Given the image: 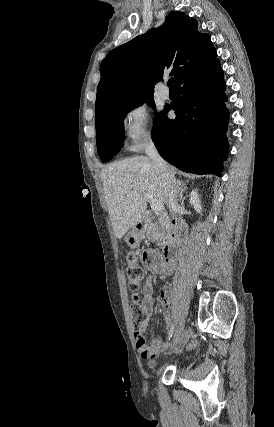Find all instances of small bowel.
I'll list each match as a JSON object with an SVG mask.
<instances>
[{"mask_svg": "<svg viewBox=\"0 0 274 427\" xmlns=\"http://www.w3.org/2000/svg\"><path fill=\"white\" fill-rule=\"evenodd\" d=\"M144 256L148 269L161 275H170L173 273L175 260L170 256H166L164 252L160 254L157 250L149 248L144 253ZM142 293L141 306L144 318L135 324V339L141 357L143 359H154L159 354L165 352L170 347V344L162 338L147 342L144 332L149 327L154 310L153 285L149 277L144 280ZM161 306L165 320L169 324L171 314L169 310V292L166 290L161 293ZM185 340V335L177 336L172 340V344L175 348H178Z\"/></svg>", "mask_w": 274, "mask_h": 427, "instance_id": "obj_1", "label": "small bowel"}]
</instances>
